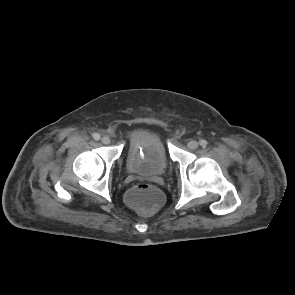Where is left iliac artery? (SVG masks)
Wrapping results in <instances>:
<instances>
[{
    "instance_id": "1",
    "label": "left iliac artery",
    "mask_w": 295,
    "mask_h": 295,
    "mask_svg": "<svg viewBox=\"0 0 295 295\" xmlns=\"http://www.w3.org/2000/svg\"><path fill=\"white\" fill-rule=\"evenodd\" d=\"M200 145L205 147L207 145V141L206 140H200Z\"/></svg>"
}]
</instances>
